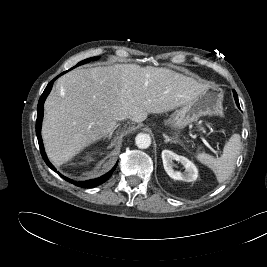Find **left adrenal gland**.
<instances>
[{"mask_svg": "<svg viewBox=\"0 0 267 267\" xmlns=\"http://www.w3.org/2000/svg\"><path fill=\"white\" fill-rule=\"evenodd\" d=\"M163 136L165 138V143H168V142H174V143H176L175 140L170 139L166 134H163Z\"/></svg>", "mask_w": 267, "mask_h": 267, "instance_id": "left-adrenal-gland-1", "label": "left adrenal gland"}]
</instances>
